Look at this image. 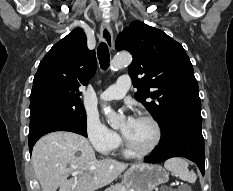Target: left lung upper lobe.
Returning <instances> with one entry per match:
<instances>
[{
  "label": "left lung upper lobe",
  "instance_id": "obj_1",
  "mask_svg": "<svg viewBox=\"0 0 233 191\" xmlns=\"http://www.w3.org/2000/svg\"><path fill=\"white\" fill-rule=\"evenodd\" d=\"M115 48L132 54L135 98L159 123L163 136L177 123H202L197 80L182 45L162 30L134 21L119 34Z\"/></svg>",
  "mask_w": 233,
  "mask_h": 191
}]
</instances>
